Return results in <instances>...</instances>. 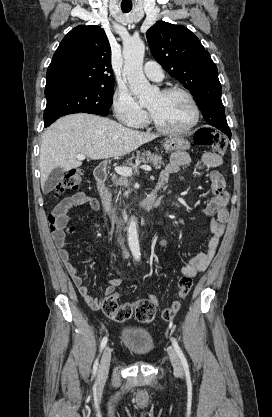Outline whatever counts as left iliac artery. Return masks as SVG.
<instances>
[{
  "label": "left iliac artery",
  "instance_id": "1",
  "mask_svg": "<svg viewBox=\"0 0 272 417\" xmlns=\"http://www.w3.org/2000/svg\"><path fill=\"white\" fill-rule=\"evenodd\" d=\"M171 341H172V345H173L175 351L177 352V354H178V356H179V358L182 362V365H183L184 369L188 370L189 367H188L187 360H186L181 348L179 347L177 341L173 337L171 338Z\"/></svg>",
  "mask_w": 272,
  "mask_h": 417
}]
</instances>
